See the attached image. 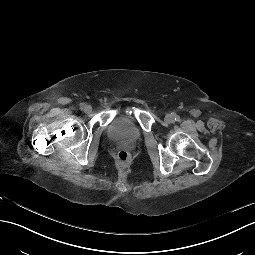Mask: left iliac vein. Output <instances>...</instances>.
Wrapping results in <instances>:
<instances>
[{
  "label": "left iliac vein",
  "mask_w": 255,
  "mask_h": 255,
  "mask_svg": "<svg viewBox=\"0 0 255 255\" xmlns=\"http://www.w3.org/2000/svg\"><path fill=\"white\" fill-rule=\"evenodd\" d=\"M165 122H167V123H172L173 121H174V117H173V115L172 114H167L166 116H165Z\"/></svg>",
  "instance_id": "1"
}]
</instances>
